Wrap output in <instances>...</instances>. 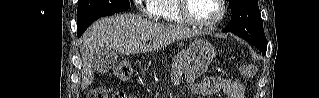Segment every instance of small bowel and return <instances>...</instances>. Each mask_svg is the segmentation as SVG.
I'll list each match as a JSON object with an SVG mask.
<instances>
[{
    "label": "small bowel",
    "mask_w": 319,
    "mask_h": 98,
    "mask_svg": "<svg viewBox=\"0 0 319 98\" xmlns=\"http://www.w3.org/2000/svg\"><path fill=\"white\" fill-rule=\"evenodd\" d=\"M172 79L175 84L181 82V72L178 69H173ZM205 86L208 94L223 91L227 98H243L244 96V86L239 82L229 79L210 77L206 80Z\"/></svg>",
    "instance_id": "small-bowel-1"
}]
</instances>
